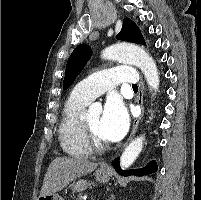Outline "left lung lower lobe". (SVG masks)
I'll use <instances>...</instances> for the list:
<instances>
[{
    "mask_svg": "<svg viewBox=\"0 0 201 200\" xmlns=\"http://www.w3.org/2000/svg\"><path fill=\"white\" fill-rule=\"evenodd\" d=\"M112 166L114 167V169L123 176H130V175H135V176H142V175H148L151 174L153 172L157 171V164L155 161H151L147 164V166L145 168L142 169H136V170H121L120 168V164H119V158H116L113 162H112Z\"/></svg>",
    "mask_w": 201,
    "mask_h": 200,
    "instance_id": "left-lung-lower-lobe-1",
    "label": "left lung lower lobe"
}]
</instances>
